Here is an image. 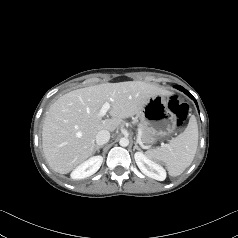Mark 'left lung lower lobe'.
<instances>
[{
	"label": "left lung lower lobe",
	"instance_id": "obj_1",
	"mask_svg": "<svg viewBox=\"0 0 238 238\" xmlns=\"http://www.w3.org/2000/svg\"><path fill=\"white\" fill-rule=\"evenodd\" d=\"M175 87H176L177 89L183 91V92H184L185 94H187L190 98H192V99L195 101L196 105H197V102H196L195 98H194L186 89H184L183 87H181V86H179V85H176ZM197 106H198V105H197Z\"/></svg>",
	"mask_w": 238,
	"mask_h": 238
}]
</instances>
